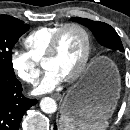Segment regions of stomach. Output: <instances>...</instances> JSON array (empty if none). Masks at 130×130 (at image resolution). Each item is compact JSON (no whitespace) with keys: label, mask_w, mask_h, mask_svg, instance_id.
I'll return each instance as SVG.
<instances>
[{"label":"stomach","mask_w":130,"mask_h":130,"mask_svg":"<svg viewBox=\"0 0 130 130\" xmlns=\"http://www.w3.org/2000/svg\"><path fill=\"white\" fill-rule=\"evenodd\" d=\"M87 78L91 79L89 85H85ZM120 91L121 78L117 66L109 59L100 58L67 91L61 112L87 124L106 121L116 108Z\"/></svg>","instance_id":"0dacf381"}]
</instances>
